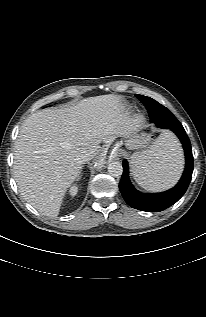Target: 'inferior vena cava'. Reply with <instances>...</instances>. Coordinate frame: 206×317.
I'll return each instance as SVG.
<instances>
[{
  "instance_id": "1",
  "label": "inferior vena cava",
  "mask_w": 206,
  "mask_h": 317,
  "mask_svg": "<svg viewBox=\"0 0 206 317\" xmlns=\"http://www.w3.org/2000/svg\"><path fill=\"white\" fill-rule=\"evenodd\" d=\"M94 157V154L92 152H81L77 156V160L79 163L84 164L87 161L91 160Z\"/></svg>"
}]
</instances>
